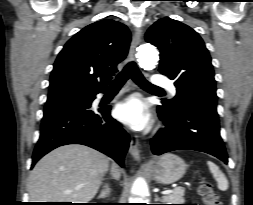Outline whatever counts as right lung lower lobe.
<instances>
[{
    "mask_svg": "<svg viewBox=\"0 0 253 205\" xmlns=\"http://www.w3.org/2000/svg\"><path fill=\"white\" fill-rule=\"evenodd\" d=\"M90 101L83 105H60L44 109L40 139L33 153L32 167L51 150L67 144L92 147L124 166L130 138L110 115V107L92 111Z\"/></svg>",
    "mask_w": 253,
    "mask_h": 205,
    "instance_id": "1",
    "label": "right lung lower lobe"
}]
</instances>
